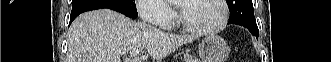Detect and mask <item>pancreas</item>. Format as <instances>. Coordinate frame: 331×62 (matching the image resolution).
Returning <instances> with one entry per match:
<instances>
[{
  "label": "pancreas",
  "mask_w": 331,
  "mask_h": 62,
  "mask_svg": "<svg viewBox=\"0 0 331 62\" xmlns=\"http://www.w3.org/2000/svg\"><path fill=\"white\" fill-rule=\"evenodd\" d=\"M184 58H185L186 62H200V60H198L197 58H194L193 56H191L189 54H185Z\"/></svg>",
  "instance_id": "obj_1"
}]
</instances>
